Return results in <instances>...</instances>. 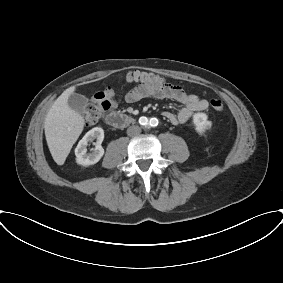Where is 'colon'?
I'll list each match as a JSON object with an SVG mask.
<instances>
[{"mask_svg": "<svg viewBox=\"0 0 283 283\" xmlns=\"http://www.w3.org/2000/svg\"><path fill=\"white\" fill-rule=\"evenodd\" d=\"M126 80L135 82L147 89H157L163 86L164 80L161 76L143 71H133L126 75ZM212 110L220 112L224 109V104L220 99L213 98L209 102ZM110 108V101L99 93L89 104L85 112V122L88 126H93L99 122L104 113Z\"/></svg>", "mask_w": 283, "mask_h": 283, "instance_id": "obj_1", "label": "colon"}]
</instances>
